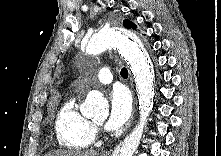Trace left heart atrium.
<instances>
[{
  "mask_svg": "<svg viewBox=\"0 0 221 156\" xmlns=\"http://www.w3.org/2000/svg\"><path fill=\"white\" fill-rule=\"evenodd\" d=\"M110 111L106 128L110 131L119 130L129 120L132 112V99L123 87H115L109 97Z\"/></svg>",
  "mask_w": 221,
  "mask_h": 156,
  "instance_id": "1",
  "label": "left heart atrium"
}]
</instances>
